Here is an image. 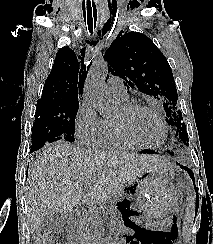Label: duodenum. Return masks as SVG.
I'll use <instances>...</instances> for the list:
<instances>
[{
	"label": "duodenum",
	"instance_id": "obj_1",
	"mask_svg": "<svg viewBox=\"0 0 213 244\" xmlns=\"http://www.w3.org/2000/svg\"><path fill=\"white\" fill-rule=\"evenodd\" d=\"M70 218H71V219L77 218V214H76V213H73V214L70 216ZM105 243H106V240H105V238H103V239L101 240V243H100V244H105Z\"/></svg>",
	"mask_w": 213,
	"mask_h": 244
}]
</instances>
